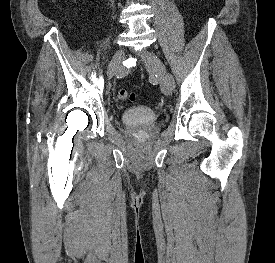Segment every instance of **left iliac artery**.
<instances>
[{
    "label": "left iliac artery",
    "mask_w": 275,
    "mask_h": 263,
    "mask_svg": "<svg viewBox=\"0 0 275 263\" xmlns=\"http://www.w3.org/2000/svg\"><path fill=\"white\" fill-rule=\"evenodd\" d=\"M168 79H169V81L171 82V84H172V86L174 88L175 87V82H174L173 77L170 74H168Z\"/></svg>",
    "instance_id": "1"
}]
</instances>
